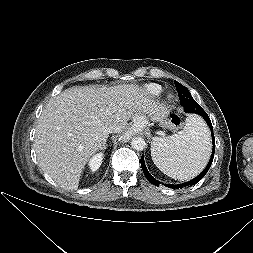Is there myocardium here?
<instances>
[{"mask_svg": "<svg viewBox=\"0 0 253 253\" xmlns=\"http://www.w3.org/2000/svg\"><path fill=\"white\" fill-rule=\"evenodd\" d=\"M173 99V95L169 94L168 95V100L171 101Z\"/></svg>", "mask_w": 253, "mask_h": 253, "instance_id": "obj_1", "label": "myocardium"}]
</instances>
